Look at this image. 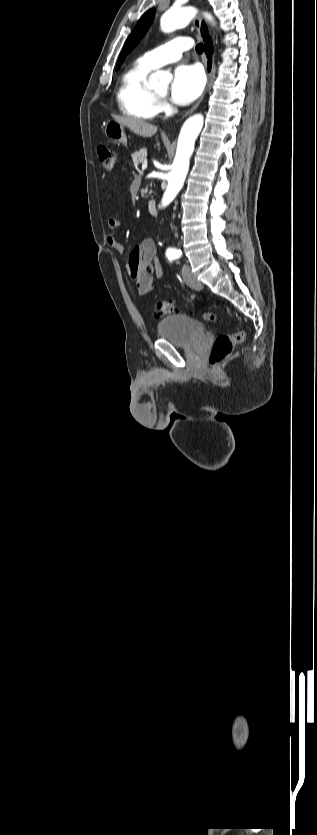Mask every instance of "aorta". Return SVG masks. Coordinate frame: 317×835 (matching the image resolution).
Listing matches in <instances>:
<instances>
[{"label":"aorta","mask_w":317,"mask_h":835,"mask_svg":"<svg viewBox=\"0 0 317 835\" xmlns=\"http://www.w3.org/2000/svg\"><path fill=\"white\" fill-rule=\"evenodd\" d=\"M195 14L192 7H171L166 10L160 18L162 31L171 32L181 25H187ZM205 17L212 21V17L205 13ZM172 75L163 71H157L150 75L149 86L155 88L161 81L168 83ZM204 126V118L196 114L188 118L180 131L176 149V155L169 174L168 185L162 198L161 206L165 207L171 203L183 187L188 170L191 155L194 151L195 141Z\"/></svg>","instance_id":"1"}]
</instances>
